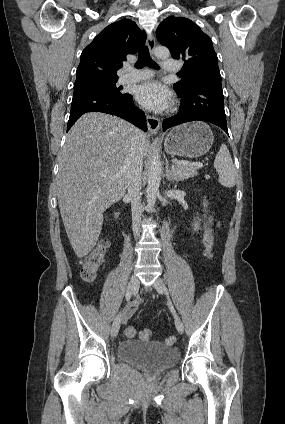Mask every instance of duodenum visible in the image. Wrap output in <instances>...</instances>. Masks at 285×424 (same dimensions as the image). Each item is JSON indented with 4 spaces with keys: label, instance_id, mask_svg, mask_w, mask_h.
Here are the masks:
<instances>
[{
    "label": "duodenum",
    "instance_id": "obj_1",
    "mask_svg": "<svg viewBox=\"0 0 285 424\" xmlns=\"http://www.w3.org/2000/svg\"><path fill=\"white\" fill-rule=\"evenodd\" d=\"M114 216H115V219L116 220H119L120 217H121V213L120 212H116Z\"/></svg>",
    "mask_w": 285,
    "mask_h": 424
}]
</instances>
